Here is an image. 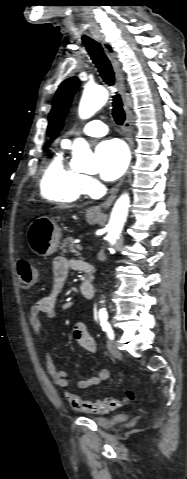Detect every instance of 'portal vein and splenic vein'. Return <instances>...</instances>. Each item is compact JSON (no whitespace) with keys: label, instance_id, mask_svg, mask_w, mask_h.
Here are the masks:
<instances>
[{"label":"portal vein and splenic vein","instance_id":"18ae733b","mask_svg":"<svg viewBox=\"0 0 187 479\" xmlns=\"http://www.w3.org/2000/svg\"><path fill=\"white\" fill-rule=\"evenodd\" d=\"M76 249H77L78 251H82V250H83V247H82L81 245H76ZM73 252H75V250H74Z\"/></svg>","mask_w":187,"mask_h":479}]
</instances>
